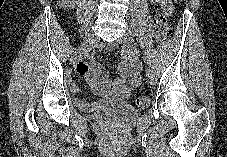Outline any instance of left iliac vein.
I'll list each match as a JSON object with an SVG mask.
<instances>
[{
	"instance_id": "4c4485c4",
	"label": "left iliac vein",
	"mask_w": 227,
	"mask_h": 157,
	"mask_svg": "<svg viewBox=\"0 0 227 157\" xmlns=\"http://www.w3.org/2000/svg\"><path fill=\"white\" fill-rule=\"evenodd\" d=\"M132 34H133V29L129 28L127 33L124 36H122L118 40V42L121 44H125V45L129 44L133 38ZM146 76H147L148 83L153 85L155 83V74H154L153 70L149 68L147 70Z\"/></svg>"
}]
</instances>
